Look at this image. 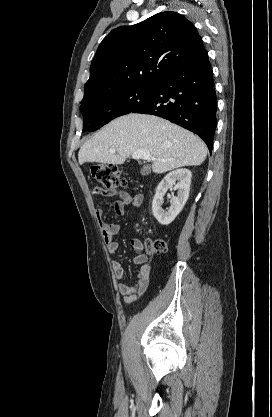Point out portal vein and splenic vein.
Here are the masks:
<instances>
[{"instance_id":"1","label":"portal vein and splenic vein","mask_w":272,"mask_h":417,"mask_svg":"<svg viewBox=\"0 0 272 417\" xmlns=\"http://www.w3.org/2000/svg\"><path fill=\"white\" fill-rule=\"evenodd\" d=\"M110 153H115V150L110 149ZM132 157L134 159H144V160H147V161H156L157 160L147 150H138V151L133 153Z\"/></svg>"}]
</instances>
